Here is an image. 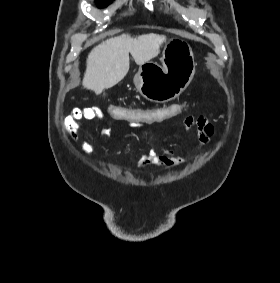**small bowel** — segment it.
<instances>
[{"label":"small bowel","instance_id":"1","mask_svg":"<svg viewBox=\"0 0 280 283\" xmlns=\"http://www.w3.org/2000/svg\"><path fill=\"white\" fill-rule=\"evenodd\" d=\"M185 110V106H184ZM111 114V113H110ZM104 116V112L96 107L88 108L86 110H79L72 112L66 118L65 124L72 141L76 142L78 139L77 131L80 127L100 120ZM168 120V119H167ZM157 123V122H156ZM131 127L143 126L142 123L138 122H127ZM183 125L187 130H190L194 126L198 129L199 148L202 149L210 140L214 133V126L204 116L194 118L193 116H186L183 119ZM111 134L110 127H104L100 130L99 136L107 138ZM82 151L85 156L90 157L94 152V147L91 141H86L82 146ZM187 162L176 155L172 150L163 147H153L146 153L142 154L138 161V168L145 169L149 166L155 165L162 169L169 170Z\"/></svg>","mask_w":280,"mask_h":283}]
</instances>
